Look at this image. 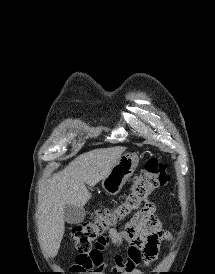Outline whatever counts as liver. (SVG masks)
<instances>
[{"label":"liver","instance_id":"obj_1","mask_svg":"<svg viewBox=\"0 0 215 274\" xmlns=\"http://www.w3.org/2000/svg\"><path fill=\"white\" fill-rule=\"evenodd\" d=\"M125 147L95 149L78 156L48 180L38 209V228L43 252L55 257L64 235L66 205L83 207L91 198V187L103 180L122 156Z\"/></svg>","mask_w":215,"mask_h":274}]
</instances>
